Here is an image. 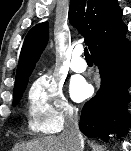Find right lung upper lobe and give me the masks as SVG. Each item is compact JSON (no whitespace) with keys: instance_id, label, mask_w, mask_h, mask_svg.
<instances>
[{"instance_id":"obj_1","label":"right lung upper lobe","mask_w":131,"mask_h":151,"mask_svg":"<svg viewBox=\"0 0 131 151\" xmlns=\"http://www.w3.org/2000/svg\"><path fill=\"white\" fill-rule=\"evenodd\" d=\"M117 0H70L69 21L86 38L90 52L127 29ZM48 22L35 25L25 37L14 90L27 85L40 54L47 45Z\"/></svg>"}]
</instances>
